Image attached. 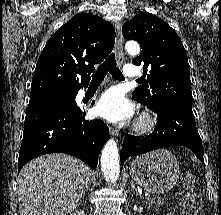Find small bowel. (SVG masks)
Here are the masks:
<instances>
[{
    "instance_id": "1",
    "label": "small bowel",
    "mask_w": 221,
    "mask_h": 215,
    "mask_svg": "<svg viewBox=\"0 0 221 215\" xmlns=\"http://www.w3.org/2000/svg\"><path fill=\"white\" fill-rule=\"evenodd\" d=\"M166 215H174L173 213H167Z\"/></svg>"
}]
</instances>
